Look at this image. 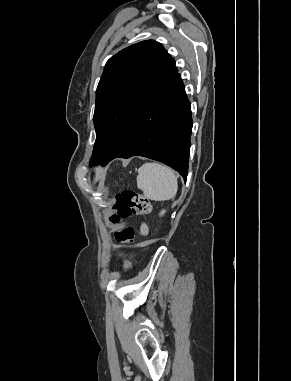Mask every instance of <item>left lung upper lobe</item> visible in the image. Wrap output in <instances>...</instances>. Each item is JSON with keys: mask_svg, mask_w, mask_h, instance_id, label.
I'll use <instances>...</instances> for the list:
<instances>
[{"mask_svg": "<svg viewBox=\"0 0 291 381\" xmlns=\"http://www.w3.org/2000/svg\"><path fill=\"white\" fill-rule=\"evenodd\" d=\"M177 73L175 61L154 40L131 45L107 61L96 90L91 164L108 156L145 105Z\"/></svg>", "mask_w": 291, "mask_h": 381, "instance_id": "left-lung-upper-lobe-1", "label": "left lung upper lobe"}]
</instances>
